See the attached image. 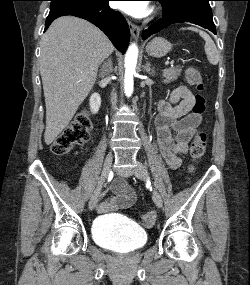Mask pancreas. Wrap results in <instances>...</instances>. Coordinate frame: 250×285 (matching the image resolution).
<instances>
[{
    "mask_svg": "<svg viewBox=\"0 0 250 285\" xmlns=\"http://www.w3.org/2000/svg\"><path fill=\"white\" fill-rule=\"evenodd\" d=\"M182 71V67L176 66V67H171L168 69L163 70L162 76L164 77L163 82L164 83H170L172 81H175L178 79Z\"/></svg>",
    "mask_w": 250,
    "mask_h": 285,
    "instance_id": "pancreas-1",
    "label": "pancreas"
}]
</instances>
